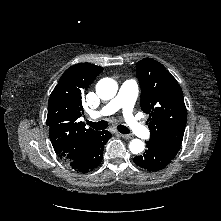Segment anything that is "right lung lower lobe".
Returning a JSON list of instances; mask_svg holds the SVG:
<instances>
[{
  "mask_svg": "<svg viewBox=\"0 0 221 221\" xmlns=\"http://www.w3.org/2000/svg\"><path fill=\"white\" fill-rule=\"evenodd\" d=\"M111 133L108 131H99L94 138L87 154L76 161H70L68 164L76 172L87 173L95 169L102 161L104 145L110 139Z\"/></svg>",
  "mask_w": 221,
  "mask_h": 221,
  "instance_id": "right-lung-lower-lobe-1",
  "label": "right lung lower lobe"
}]
</instances>
